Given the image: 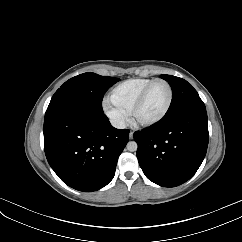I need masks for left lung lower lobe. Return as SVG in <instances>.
I'll list each match as a JSON object with an SVG mask.
<instances>
[{"label": "left lung lower lobe", "instance_id": "1", "mask_svg": "<svg viewBox=\"0 0 242 242\" xmlns=\"http://www.w3.org/2000/svg\"><path fill=\"white\" fill-rule=\"evenodd\" d=\"M137 158L145 176L163 187L189 180L207 151L209 133L204 104L166 115L157 126L134 133Z\"/></svg>", "mask_w": 242, "mask_h": 242}]
</instances>
